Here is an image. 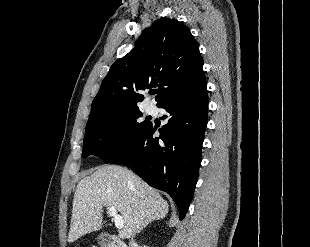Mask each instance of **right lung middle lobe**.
<instances>
[{
  "label": "right lung middle lobe",
  "instance_id": "dd1d6c3e",
  "mask_svg": "<svg viewBox=\"0 0 310 247\" xmlns=\"http://www.w3.org/2000/svg\"><path fill=\"white\" fill-rule=\"evenodd\" d=\"M141 116L142 113L137 108L104 115L88 122L82 156L85 158L96 155L105 163H110L131 148L150 125L146 121L138 122Z\"/></svg>",
  "mask_w": 310,
  "mask_h": 247
}]
</instances>
